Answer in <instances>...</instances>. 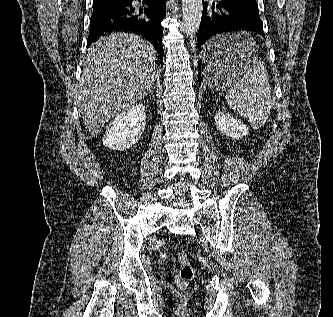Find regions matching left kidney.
I'll return each mask as SVG.
<instances>
[{"mask_svg":"<svg viewBox=\"0 0 333 317\" xmlns=\"http://www.w3.org/2000/svg\"><path fill=\"white\" fill-rule=\"evenodd\" d=\"M214 119L217 129L232 139H240L249 132L244 123L228 113L219 111L215 113Z\"/></svg>","mask_w":333,"mask_h":317,"instance_id":"obj_1","label":"left kidney"}]
</instances>
